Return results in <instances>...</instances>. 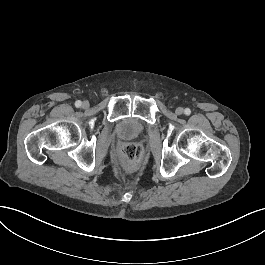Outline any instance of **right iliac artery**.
Masks as SVG:
<instances>
[{
  "instance_id": "82829eb1",
  "label": "right iliac artery",
  "mask_w": 265,
  "mask_h": 265,
  "mask_svg": "<svg viewBox=\"0 0 265 265\" xmlns=\"http://www.w3.org/2000/svg\"><path fill=\"white\" fill-rule=\"evenodd\" d=\"M81 104H82V102H81L80 100H77V101L75 102V106H76L77 108H79V107L81 106Z\"/></svg>"
}]
</instances>
